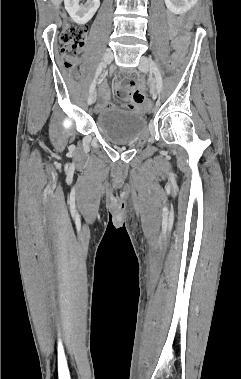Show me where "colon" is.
<instances>
[{
	"mask_svg": "<svg viewBox=\"0 0 241 379\" xmlns=\"http://www.w3.org/2000/svg\"><path fill=\"white\" fill-rule=\"evenodd\" d=\"M198 14L197 8H190L188 15L186 16V23L183 24L184 30H189L190 25L195 24V20ZM180 28H175L173 30V36H181ZM87 34V26L84 24L77 23H69L65 26L63 31L59 36V44H60V58L62 65L70 70H75L80 62V55L85 46V37ZM179 38V37H178ZM162 57V56H161ZM169 68L175 70L178 68V61H173L172 58H167L166 61ZM168 69L167 73L171 74L172 70ZM143 104L145 108H150L152 104L151 98H144Z\"/></svg>",
	"mask_w": 241,
	"mask_h": 379,
	"instance_id": "1",
	"label": "colon"
}]
</instances>
